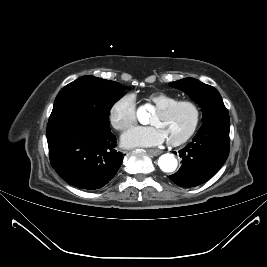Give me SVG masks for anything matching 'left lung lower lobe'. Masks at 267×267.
<instances>
[{"instance_id": "1", "label": "left lung lower lobe", "mask_w": 267, "mask_h": 267, "mask_svg": "<svg viewBox=\"0 0 267 267\" xmlns=\"http://www.w3.org/2000/svg\"><path fill=\"white\" fill-rule=\"evenodd\" d=\"M229 119L203 123L192 142L179 151L182 166L169 178L182 187H194L212 178L229 151Z\"/></svg>"}]
</instances>
